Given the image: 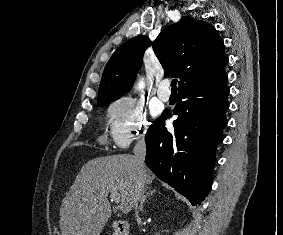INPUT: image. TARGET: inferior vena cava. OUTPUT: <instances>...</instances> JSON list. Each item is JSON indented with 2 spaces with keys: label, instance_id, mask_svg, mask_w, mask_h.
Returning <instances> with one entry per match:
<instances>
[{
  "label": "inferior vena cava",
  "instance_id": "602c4592",
  "mask_svg": "<svg viewBox=\"0 0 283 235\" xmlns=\"http://www.w3.org/2000/svg\"><path fill=\"white\" fill-rule=\"evenodd\" d=\"M134 160L137 168L138 179L137 187L135 190L134 205L137 208L138 202L141 200L143 194V173L146 168L145 166V156H146V144L144 137L140 138L136 143L134 150ZM139 223L141 222L138 219Z\"/></svg>",
  "mask_w": 283,
  "mask_h": 235
}]
</instances>
